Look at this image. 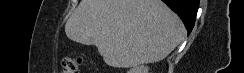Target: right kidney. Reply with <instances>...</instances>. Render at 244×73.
Here are the masks:
<instances>
[{"instance_id": "obj_1", "label": "right kidney", "mask_w": 244, "mask_h": 73, "mask_svg": "<svg viewBox=\"0 0 244 73\" xmlns=\"http://www.w3.org/2000/svg\"><path fill=\"white\" fill-rule=\"evenodd\" d=\"M128 73H149V67L141 65L134 67L128 71Z\"/></svg>"}]
</instances>
